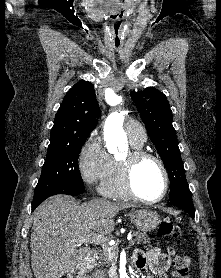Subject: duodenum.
Listing matches in <instances>:
<instances>
[{"mask_svg":"<svg viewBox=\"0 0 221 278\" xmlns=\"http://www.w3.org/2000/svg\"><path fill=\"white\" fill-rule=\"evenodd\" d=\"M96 256V250H90L87 258L75 265L73 269L68 273V278H86V271L94 262Z\"/></svg>","mask_w":221,"mask_h":278,"instance_id":"410a0bca","label":"duodenum"}]
</instances>
